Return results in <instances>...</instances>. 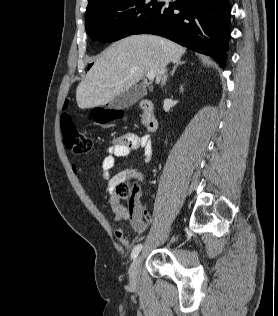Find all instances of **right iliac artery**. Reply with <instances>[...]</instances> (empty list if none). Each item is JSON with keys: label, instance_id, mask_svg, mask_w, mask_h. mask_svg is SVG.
I'll list each match as a JSON object with an SVG mask.
<instances>
[{"label": "right iliac artery", "instance_id": "obj_1", "mask_svg": "<svg viewBox=\"0 0 278 316\" xmlns=\"http://www.w3.org/2000/svg\"><path fill=\"white\" fill-rule=\"evenodd\" d=\"M141 249H142V244L136 245L132 250L131 258L132 259L136 258L138 253L141 251Z\"/></svg>", "mask_w": 278, "mask_h": 316}]
</instances>
